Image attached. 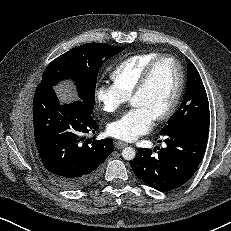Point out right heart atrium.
<instances>
[{
    "label": "right heart atrium",
    "mask_w": 231,
    "mask_h": 231,
    "mask_svg": "<svg viewBox=\"0 0 231 231\" xmlns=\"http://www.w3.org/2000/svg\"><path fill=\"white\" fill-rule=\"evenodd\" d=\"M95 99L106 113H114L127 101L114 84L103 83L95 89Z\"/></svg>",
    "instance_id": "obj_1"
}]
</instances>
